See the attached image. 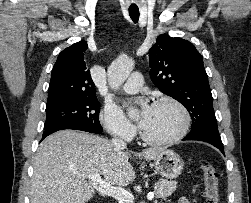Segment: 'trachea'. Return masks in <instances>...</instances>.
Returning a JSON list of instances; mask_svg holds the SVG:
<instances>
[{"label": "trachea", "instance_id": "3493384b", "mask_svg": "<svg viewBox=\"0 0 251 203\" xmlns=\"http://www.w3.org/2000/svg\"><path fill=\"white\" fill-rule=\"evenodd\" d=\"M130 18L134 23H137L139 20V10H129Z\"/></svg>", "mask_w": 251, "mask_h": 203}]
</instances>
